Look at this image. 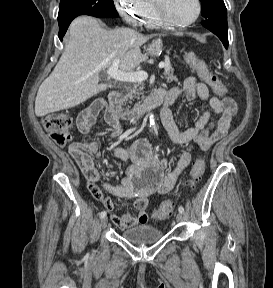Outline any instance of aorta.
<instances>
[{
  "label": "aorta",
  "instance_id": "aorta-1",
  "mask_svg": "<svg viewBox=\"0 0 273 288\" xmlns=\"http://www.w3.org/2000/svg\"><path fill=\"white\" fill-rule=\"evenodd\" d=\"M150 127L153 129L155 127L154 116L150 115Z\"/></svg>",
  "mask_w": 273,
  "mask_h": 288
}]
</instances>
